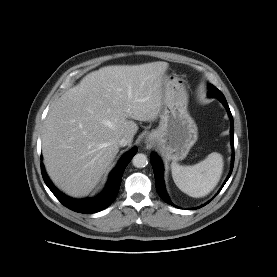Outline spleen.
Listing matches in <instances>:
<instances>
[{
	"label": "spleen",
	"mask_w": 277,
	"mask_h": 277,
	"mask_svg": "<svg viewBox=\"0 0 277 277\" xmlns=\"http://www.w3.org/2000/svg\"><path fill=\"white\" fill-rule=\"evenodd\" d=\"M174 183L185 194L199 198L208 195L218 184L223 171L222 155L213 152L193 166L171 163Z\"/></svg>",
	"instance_id": "obj_1"
}]
</instances>
